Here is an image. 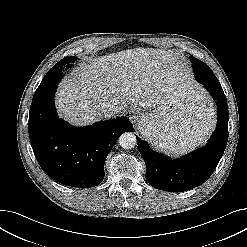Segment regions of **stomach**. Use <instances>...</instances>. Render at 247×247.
I'll use <instances>...</instances> for the list:
<instances>
[{
  "label": "stomach",
  "mask_w": 247,
  "mask_h": 247,
  "mask_svg": "<svg viewBox=\"0 0 247 247\" xmlns=\"http://www.w3.org/2000/svg\"><path fill=\"white\" fill-rule=\"evenodd\" d=\"M196 110L189 112L190 106ZM212 104L202 89L187 77L172 87L156 107L143 116L140 132L153 144L169 153L191 150L208 134L205 122L210 116Z\"/></svg>",
  "instance_id": "1"
}]
</instances>
